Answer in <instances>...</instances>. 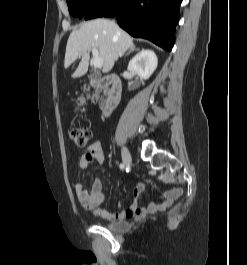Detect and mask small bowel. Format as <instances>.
Segmentation results:
<instances>
[{
	"label": "small bowel",
	"instance_id": "obj_1",
	"mask_svg": "<svg viewBox=\"0 0 247 265\" xmlns=\"http://www.w3.org/2000/svg\"><path fill=\"white\" fill-rule=\"evenodd\" d=\"M92 162L102 164L104 162L103 144L97 140L90 144L85 154L80 158V168L86 169ZM144 190V185L137 181L133 190V202L124 211H108L99 208L103 199V187L99 178H96L90 188L86 190L82 184L76 183L75 194L80 204L88 211L107 221H118L130 218H142L147 214L156 213L166 209L182 194V189L176 188L162 194L159 201L151 202L145 207L138 206V199Z\"/></svg>",
	"mask_w": 247,
	"mask_h": 265
}]
</instances>
